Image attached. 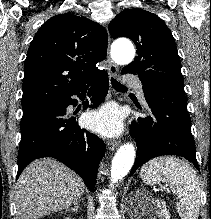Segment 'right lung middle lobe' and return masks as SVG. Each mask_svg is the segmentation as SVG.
I'll list each match as a JSON object with an SVG mask.
<instances>
[{
  "instance_id": "obj_1",
  "label": "right lung middle lobe",
  "mask_w": 211,
  "mask_h": 219,
  "mask_svg": "<svg viewBox=\"0 0 211 219\" xmlns=\"http://www.w3.org/2000/svg\"><path fill=\"white\" fill-rule=\"evenodd\" d=\"M51 102H45V103H37V104H28V105H22V109H23V114L28 113L30 111H33L37 108H40L44 105H47Z\"/></svg>"
}]
</instances>
